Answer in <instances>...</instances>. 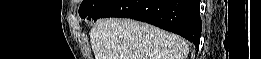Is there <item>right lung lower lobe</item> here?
<instances>
[{
	"label": "right lung lower lobe",
	"mask_w": 261,
	"mask_h": 59,
	"mask_svg": "<svg viewBox=\"0 0 261 59\" xmlns=\"http://www.w3.org/2000/svg\"><path fill=\"white\" fill-rule=\"evenodd\" d=\"M103 17L147 22L181 35L199 46L202 29L200 0H112L88 19L95 21Z\"/></svg>",
	"instance_id": "98d812e1"
}]
</instances>
